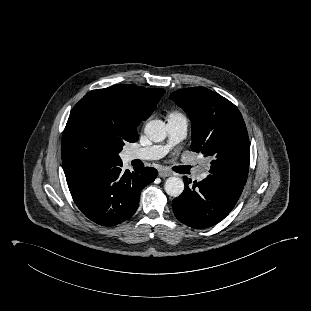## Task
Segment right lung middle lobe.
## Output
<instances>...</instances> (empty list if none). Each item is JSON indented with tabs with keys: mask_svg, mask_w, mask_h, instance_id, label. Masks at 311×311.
I'll list each match as a JSON object with an SVG mask.
<instances>
[{
	"mask_svg": "<svg viewBox=\"0 0 311 311\" xmlns=\"http://www.w3.org/2000/svg\"><path fill=\"white\" fill-rule=\"evenodd\" d=\"M127 142L98 103L75 105L62 137L64 168L122 162L119 153Z\"/></svg>",
	"mask_w": 311,
	"mask_h": 311,
	"instance_id": "1",
	"label": "right lung middle lobe"
}]
</instances>
